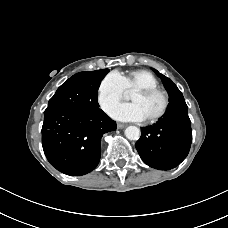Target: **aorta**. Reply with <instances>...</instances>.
<instances>
[{
  "label": "aorta",
  "mask_w": 228,
  "mask_h": 228,
  "mask_svg": "<svg viewBox=\"0 0 228 228\" xmlns=\"http://www.w3.org/2000/svg\"><path fill=\"white\" fill-rule=\"evenodd\" d=\"M140 129L136 126H129L125 129V136L129 140H138L140 138Z\"/></svg>",
  "instance_id": "obj_1"
}]
</instances>
